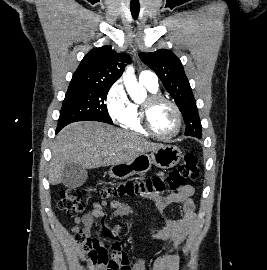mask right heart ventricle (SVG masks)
Instances as JSON below:
<instances>
[{
    "mask_svg": "<svg viewBox=\"0 0 267 270\" xmlns=\"http://www.w3.org/2000/svg\"><path fill=\"white\" fill-rule=\"evenodd\" d=\"M142 83V82H141ZM150 94L158 93V86H151L146 83H142ZM122 128L131 131L133 133L149 136V133L143 128L140 121V104L136 102L130 103V108L127 116L120 122Z\"/></svg>",
    "mask_w": 267,
    "mask_h": 270,
    "instance_id": "1",
    "label": "right heart ventricle"
}]
</instances>
